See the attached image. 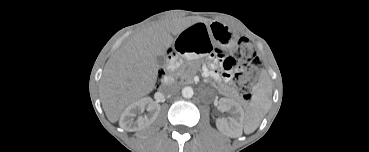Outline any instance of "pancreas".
Masks as SVG:
<instances>
[{
    "mask_svg": "<svg viewBox=\"0 0 369 152\" xmlns=\"http://www.w3.org/2000/svg\"><path fill=\"white\" fill-rule=\"evenodd\" d=\"M183 78L189 80L190 79V72L187 71L184 74ZM222 93H224L228 97V99L233 100V101L238 97L237 91L233 88H228L225 91H222Z\"/></svg>",
    "mask_w": 369,
    "mask_h": 152,
    "instance_id": "1",
    "label": "pancreas"
}]
</instances>
